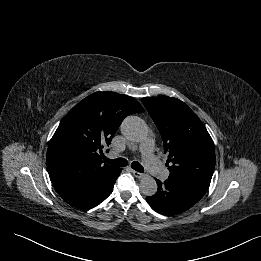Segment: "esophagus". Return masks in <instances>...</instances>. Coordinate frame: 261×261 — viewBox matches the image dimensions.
<instances>
[{
    "label": "esophagus",
    "instance_id": "obj_1",
    "mask_svg": "<svg viewBox=\"0 0 261 261\" xmlns=\"http://www.w3.org/2000/svg\"><path fill=\"white\" fill-rule=\"evenodd\" d=\"M132 173H133V175H134L135 177H137V178H143V177H145V174H144V173H140V172L135 171V170H133Z\"/></svg>",
    "mask_w": 261,
    "mask_h": 261
}]
</instances>
